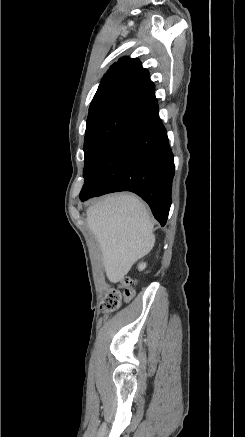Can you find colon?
Instances as JSON below:
<instances>
[{"mask_svg": "<svg viewBox=\"0 0 245 437\" xmlns=\"http://www.w3.org/2000/svg\"><path fill=\"white\" fill-rule=\"evenodd\" d=\"M133 296V290L131 287V281L128 278H124L121 281L120 289H113L105 296L102 308L106 311H115L119 308L122 298L127 300Z\"/></svg>", "mask_w": 245, "mask_h": 437, "instance_id": "obj_1", "label": "colon"}]
</instances>
